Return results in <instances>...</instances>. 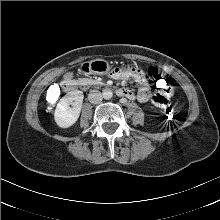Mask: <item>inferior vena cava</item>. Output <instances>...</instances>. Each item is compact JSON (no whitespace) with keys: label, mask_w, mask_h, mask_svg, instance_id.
<instances>
[{"label":"inferior vena cava","mask_w":220,"mask_h":220,"mask_svg":"<svg viewBox=\"0 0 220 220\" xmlns=\"http://www.w3.org/2000/svg\"><path fill=\"white\" fill-rule=\"evenodd\" d=\"M88 99L93 104H98L102 101L103 97L100 91L98 90H91L88 94Z\"/></svg>","instance_id":"1"}]
</instances>
